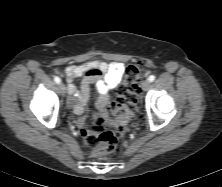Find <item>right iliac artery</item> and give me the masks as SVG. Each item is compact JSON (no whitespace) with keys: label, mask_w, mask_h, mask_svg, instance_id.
Wrapping results in <instances>:
<instances>
[{"label":"right iliac artery","mask_w":222,"mask_h":187,"mask_svg":"<svg viewBox=\"0 0 222 187\" xmlns=\"http://www.w3.org/2000/svg\"><path fill=\"white\" fill-rule=\"evenodd\" d=\"M54 81H55L57 84H59V83L61 82V79L56 76V77L54 78Z\"/></svg>","instance_id":"82829eb1"}]
</instances>
